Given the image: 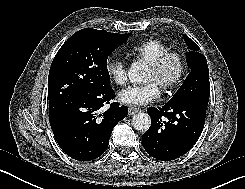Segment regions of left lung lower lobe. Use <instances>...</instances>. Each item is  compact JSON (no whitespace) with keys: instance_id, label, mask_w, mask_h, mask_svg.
<instances>
[{"instance_id":"0a47b994","label":"left lung lower lobe","mask_w":245,"mask_h":189,"mask_svg":"<svg viewBox=\"0 0 245 189\" xmlns=\"http://www.w3.org/2000/svg\"><path fill=\"white\" fill-rule=\"evenodd\" d=\"M207 104L197 100L167 102L150 107L151 126L142 136L146 152L157 160H174L188 152L200 137Z\"/></svg>"}]
</instances>
